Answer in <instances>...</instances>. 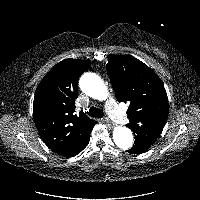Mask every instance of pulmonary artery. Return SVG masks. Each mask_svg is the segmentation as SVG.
<instances>
[{
  "label": "pulmonary artery",
  "instance_id": "obj_1",
  "mask_svg": "<svg viewBox=\"0 0 200 200\" xmlns=\"http://www.w3.org/2000/svg\"><path fill=\"white\" fill-rule=\"evenodd\" d=\"M107 109L109 115L118 123H124L126 118L125 115L119 110L115 100L110 96L107 102Z\"/></svg>",
  "mask_w": 200,
  "mask_h": 200
}]
</instances>
